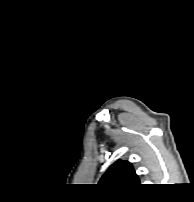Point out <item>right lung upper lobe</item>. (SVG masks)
<instances>
[{
	"label": "right lung upper lobe",
	"instance_id": "cb5924a9",
	"mask_svg": "<svg viewBox=\"0 0 194 202\" xmlns=\"http://www.w3.org/2000/svg\"><path fill=\"white\" fill-rule=\"evenodd\" d=\"M99 184L113 188H125L140 183L131 163L120 160L106 171Z\"/></svg>",
	"mask_w": 194,
	"mask_h": 202
}]
</instances>
